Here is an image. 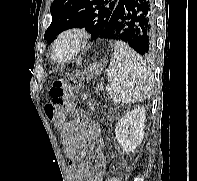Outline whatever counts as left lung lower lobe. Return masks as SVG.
<instances>
[{
    "label": "left lung lower lobe",
    "mask_w": 197,
    "mask_h": 181,
    "mask_svg": "<svg viewBox=\"0 0 197 181\" xmlns=\"http://www.w3.org/2000/svg\"><path fill=\"white\" fill-rule=\"evenodd\" d=\"M153 0H119L99 39L125 42L142 56L154 52Z\"/></svg>",
    "instance_id": "1"
}]
</instances>
